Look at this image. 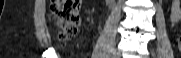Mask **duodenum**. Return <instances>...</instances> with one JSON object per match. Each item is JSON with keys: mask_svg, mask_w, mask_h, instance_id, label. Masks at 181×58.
Listing matches in <instances>:
<instances>
[{"mask_svg": "<svg viewBox=\"0 0 181 58\" xmlns=\"http://www.w3.org/2000/svg\"><path fill=\"white\" fill-rule=\"evenodd\" d=\"M114 1L113 0H108V3L112 4Z\"/></svg>", "mask_w": 181, "mask_h": 58, "instance_id": "410a0bca", "label": "duodenum"}]
</instances>
